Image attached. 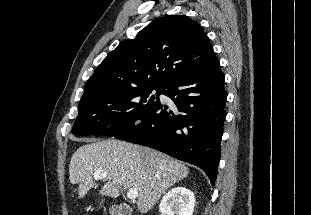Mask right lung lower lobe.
Listing matches in <instances>:
<instances>
[{
	"label": "right lung lower lobe",
	"mask_w": 311,
	"mask_h": 215,
	"mask_svg": "<svg viewBox=\"0 0 311 215\" xmlns=\"http://www.w3.org/2000/svg\"><path fill=\"white\" fill-rule=\"evenodd\" d=\"M224 84L218 59L173 79L163 87L162 94L168 96L174 106L158 105L133 128L115 137L196 165L214 185L226 117Z\"/></svg>",
	"instance_id": "right-lung-lower-lobe-1"
}]
</instances>
